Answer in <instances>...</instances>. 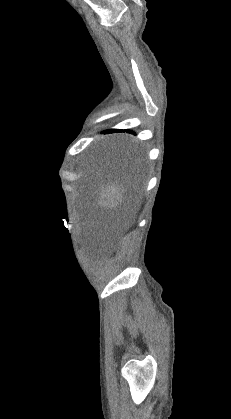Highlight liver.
I'll return each mask as SVG.
<instances>
[{
    "label": "liver",
    "instance_id": "liver-1",
    "mask_svg": "<svg viewBox=\"0 0 231 419\" xmlns=\"http://www.w3.org/2000/svg\"><path fill=\"white\" fill-rule=\"evenodd\" d=\"M124 192V187L115 182L102 185L99 189L98 204L110 209L116 208L123 202Z\"/></svg>",
    "mask_w": 231,
    "mask_h": 419
}]
</instances>
